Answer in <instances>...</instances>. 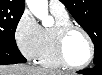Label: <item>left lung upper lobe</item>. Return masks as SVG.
Returning <instances> with one entry per match:
<instances>
[{
	"mask_svg": "<svg viewBox=\"0 0 102 75\" xmlns=\"http://www.w3.org/2000/svg\"><path fill=\"white\" fill-rule=\"evenodd\" d=\"M61 2L92 39L95 46L94 63H102V1L61 0Z\"/></svg>",
	"mask_w": 102,
	"mask_h": 75,
	"instance_id": "1",
	"label": "left lung upper lobe"
}]
</instances>
